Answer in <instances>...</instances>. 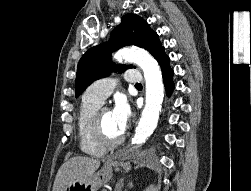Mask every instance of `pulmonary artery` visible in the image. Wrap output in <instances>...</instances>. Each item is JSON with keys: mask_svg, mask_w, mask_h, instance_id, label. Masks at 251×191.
<instances>
[{"mask_svg": "<svg viewBox=\"0 0 251 191\" xmlns=\"http://www.w3.org/2000/svg\"><path fill=\"white\" fill-rule=\"evenodd\" d=\"M130 73H125L123 78L130 82H143L138 68H130ZM121 77H107L94 83L92 89L87 93V97L103 102L119 84Z\"/></svg>", "mask_w": 251, "mask_h": 191, "instance_id": "1", "label": "pulmonary artery"}]
</instances>
